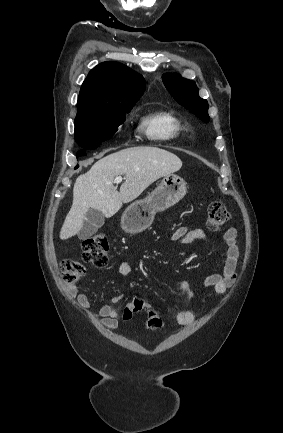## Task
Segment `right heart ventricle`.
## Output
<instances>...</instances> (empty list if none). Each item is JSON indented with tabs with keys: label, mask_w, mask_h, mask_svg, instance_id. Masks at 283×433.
<instances>
[{
	"label": "right heart ventricle",
	"mask_w": 283,
	"mask_h": 433,
	"mask_svg": "<svg viewBox=\"0 0 283 433\" xmlns=\"http://www.w3.org/2000/svg\"><path fill=\"white\" fill-rule=\"evenodd\" d=\"M137 130L152 140H171L182 134V124L172 113L158 111L138 119Z\"/></svg>",
	"instance_id": "e07e8e85"
}]
</instances>
